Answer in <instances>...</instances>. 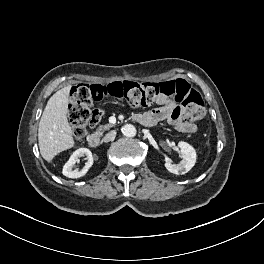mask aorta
<instances>
[{
	"instance_id": "1",
	"label": "aorta",
	"mask_w": 264,
	"mask_h": 264,
	"mask_svg": "<svg viewBox=\"0 0 264 264\" xmlns=\"http://www.w3.org/2000/svg\"><path fill=\"white\" fill-rule=\"evenodd\" d=\"M122 134L126 137H134L136 135V128L132 124H126L121 129Z\"/></svg>"
}]
</instances>
